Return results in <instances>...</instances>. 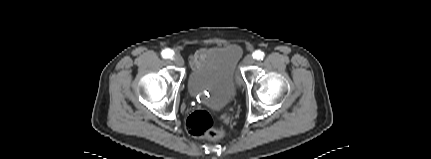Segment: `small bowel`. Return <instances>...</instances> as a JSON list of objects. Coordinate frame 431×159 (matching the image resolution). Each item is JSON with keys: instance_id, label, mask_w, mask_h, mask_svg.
Wrapping results in <instances>:
<instances>
[{"instance_id": "obj_1", "label": "small bowel", "mask_w": 431, "mask_h": 159, "mask_svg": "<svg viewBox=\"0 0 431 159\" xmlns=\"http://www.w3.org/2000/svg\"><path fill=\"white\" fill-rule=\"evenodd\" d=\"M208 50L202 49L197 51L191 58V64L193 67L200 66L203 61L207 58Z\"/></svg>"}]
</instances>
